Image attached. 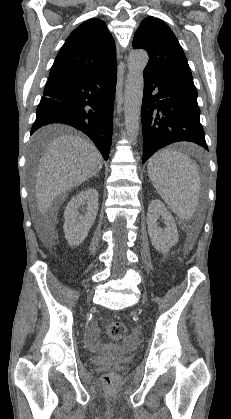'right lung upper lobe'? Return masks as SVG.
<instances>
[{
    "instance_id": "right-lung-upper-lobe-1",
    "label": "right lung upper lobe",
    "mask_w": 231,
    "mask_h": 419,
    "mask_svg": "<svg viewBox=\"0 0 231 419\" xmlns=\"http://www.w3.org/2000/svg\"><path fill=\"white\" fill-rule=\"evenodd\" d=\"M114 39L104 21L93 18L78 26L60 49L49 80L90 76L117 66Z\"/></svg>"
}]
</instances>
